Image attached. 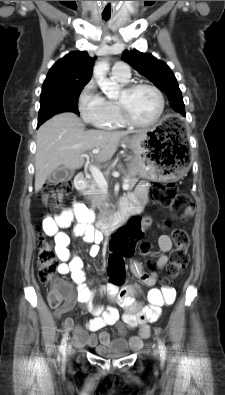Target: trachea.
Instances as JSON below:
<instances>
[{
	"instance_id": "3493384b",
	"label": "trachea",
	"mask_w": 225,
	"mask_h": 395,
	"mask_svg": "<svg viewBox=\"0 0 225 395\" xmlns=\"http://www.w3.org/2000/svg\"><path fill=\"white\" fill-rule=\"evenodd\" d=\"M102 18H103L104 20H109V19H110V15H102Z\"/></svg>"
}]
</instances>
